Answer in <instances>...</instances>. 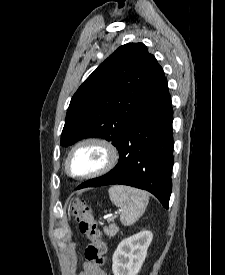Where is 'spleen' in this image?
Returning a JSON list of instances; mask_svg holds the SVG:
<instances>
[{
  "instance_id": "obj_1",
  "label": "spleen",
  "mask_w": 225,
  "mask_h": 275,
  "mask_svg": "<svg viewBox=\"0 0 225 275\" xmlns=\"http://www.w3.org/2000/svg\"><path fill=\"white\" fill-rule=\"evenodd\" d=\"M112 203L120 208V221L124 226H131L145 212L149 202L146 192L129 186L115 185L108 190Z\"/></svg>"
}]
</instances>
